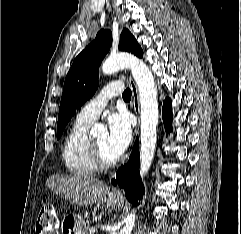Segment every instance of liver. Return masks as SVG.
<instances>
[{
  "label": "liver",
  "instance_id": "6515ba94",
  "mask_svg": "<svg viewBox=\"0 0 241 234\" xmlns=\"http://www.w3.org/2000/svg\"><path fill=\"white\" fill-rule=\"evenodd\" d=\"M46 185L65 200L78 205H92L110 191L101 180L86 175H52Z\"/></svg>",
  "mask_w": 241,
  "mask_h": 234
}]
</instances>
